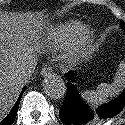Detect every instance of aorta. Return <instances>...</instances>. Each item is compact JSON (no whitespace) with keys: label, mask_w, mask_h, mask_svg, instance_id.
Returning <instances> with one entry per match:
<instances>
[{"label":"aorta","mask_w":125,"mask_h":125,"mask_svg":"<svg viewBox=\"0 0 125 125\" xmlns=\"http://www.w3.org/2000/svg\"><path fill=\"white\" fill-rule=\"evenodd\" d=\"M44 92L51 99H61L66 94V84L60 76L49 75L43 82Z\"/></svg>","instance_id":"762f6f07"}]
</instances>
